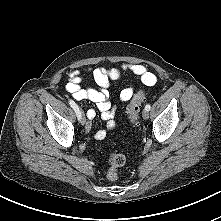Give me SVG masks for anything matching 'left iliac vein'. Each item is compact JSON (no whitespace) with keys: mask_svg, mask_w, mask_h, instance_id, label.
Returning <instances> with one entry per match:
<instances>
[{"mask_svg":"<svg viewBox=\"0 0 221 221\" xmlns=\"http://www.w3.org/2000/svg\"><path fill=\"white\" fill-rule=\"evenodd\" d=\"M142 116H143L144 119H148L149 118V112L147 110H144L142 112Z\"/></svg>","mask_w":221,"mask_h":221,"instance_id":"left-iliac-vein-1","label":"left iliac vein"}]
</instances>
